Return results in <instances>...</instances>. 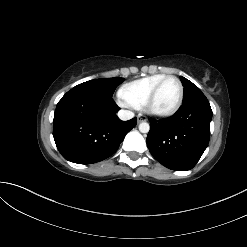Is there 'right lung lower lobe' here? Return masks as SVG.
<instances>
[{"instance_id":"right-lung-lower-lobe-1","label":"right lung lower lobe","mask_w":247,"mask_h":247,"mask_svg":"<svg viewBox=\"0 0 247 247\" xmlns=\"http://www.w3.org/2000/svg\"><path fill=\"white\" fill-rule=\"evenodd\" d=\"M112 96L98 91L70 90L58 102L53 137L62 156L92 164L114 154L137 119L120 120Z\"/></svg>"}]
</instances>
